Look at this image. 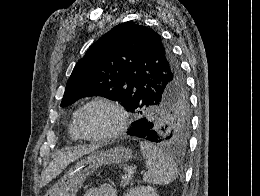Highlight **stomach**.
Wrapping results in <instances>:
<instances>
[{"mask_svg":"<svg viewBox=\"0 0 260 196\" xmlns=\"http://www.w3.org/2000/svg\"><path fill=\"white\" fill-rule=\"evenodd\" d=\"M132 156V150L123 148V146L111 148L106 152H94V154H90V156H87L69 170L68 180H58V185H68V187H49L46 196H76L87 176H91L97 168L128 162Z\"/></svg>","mask_w":260,"mask_h":196,"instance_id":"1","label":"stomach"}]
</instances>
